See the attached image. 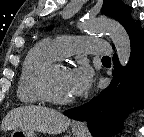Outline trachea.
I'll use <instances>...</instances> for the list:
<instances>
[{
	"instance_id": "obj_1",
	"label": "trachea",
	"mask_w": 144,
	"mask_h": 137,
	"mask_svg": "<svg viewBox=\"0 0 144 137\" xmlns=\"http://www.w3.org/2000/svg\"><path fill=\"white\" fill-rule=\"evenodd\" d=\"M102 60H110V57H109V56H104V57L102 58Z\"/></svg>"
}]
</instances>
